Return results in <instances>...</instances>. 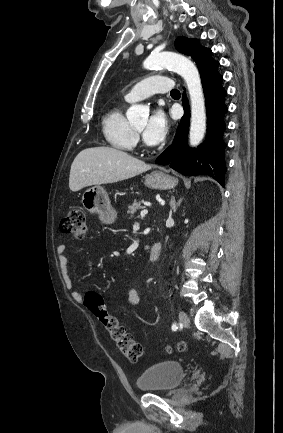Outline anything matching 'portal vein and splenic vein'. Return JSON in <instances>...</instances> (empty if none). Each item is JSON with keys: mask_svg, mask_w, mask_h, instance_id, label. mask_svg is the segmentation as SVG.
<instances>
[{"mask_svg": "<svg viewBox=\"0 0 283 433\" xmlns=\"http://www.w3.org/2000/svg\"><path fill=\"white\" fill-rule=\"evenodd\" d=\"M147 212H148L147 208H143V210H141L140 214H141L142 219H143V217H145V214H147Z\"/></svg>", "mask_w": 283, "mask_h": 433, "instance_id": "obj_1", "label": "portal vein and splenic vein"}]
</instances>
